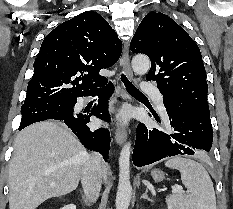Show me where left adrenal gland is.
<instances>
[{
    "mask_svg": "<svg viewBox=\"0 0 233 209\" xmlns=\"http://www.w3.org/2000/svg\"><path fill=\"white\" fill-rule=\"evenodd\" d=\"M147 193H148V189L145 190V192H144V194L141 196V198L146 199V200H148V201H152V200L148 197Z\"/></svg>",
    "mask_w": 233,
    "mask_h": 209,
    "instance_id": "a2214340",
    "label": "left adrenal gland"
}]
</instances>
